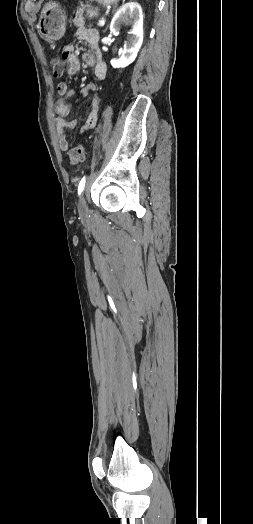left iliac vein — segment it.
Returning <instances> with one entry per match:
<instances>
[{
    "label": "left iliac vein",
    "instance_id": "1",
    "mask_svg": "<svg viewBox=\"0 0 253 524\" xmlns=\"http://www.w3.org/2000/svg\"><path fill=\"white\" fill-rule=\"evenodd\" d=\"M78 209L81 215H86L88 213L87 204H86L85 197L83 194L80 196L78 200Z\"/></svg>",
    "mask_w": 253,
    "mask_h": 524
}]
</instances>
